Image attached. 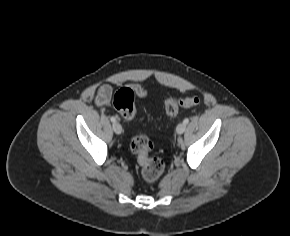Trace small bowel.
Segmentation results:
<instances>
[{"instance_id": "obj_1", "label": "small bowel", "mask_w": 290, "mask_h": 236, "mask_svg": "<svg viewBox=\"0 0 290 236\" xmlns=\"http://www.w3.org/2000/svg\"><path fill=\"white\" fill-rule=\"evenodd\" d=\"M134 88L139 96H145L146 92L142 87L134 86ZM111 96H112V87L108 84L102 85L98 89V92L96 95V104L99 107L107 106L108 103L110 102Z\"/></svg>"}]
</instances>
